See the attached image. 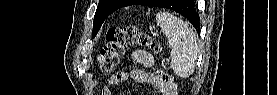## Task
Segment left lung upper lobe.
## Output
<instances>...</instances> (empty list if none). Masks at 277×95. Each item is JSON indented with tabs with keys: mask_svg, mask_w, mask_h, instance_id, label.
<instances>
[{
	"mask_svg": "<svg viewBox=\"0 0 277 95\" xmlns=\"http://www.w3.org/2000/svg\"><path fill=\"white\" fill-rule=\"evenodd\" d=\"M132 0H100L94 16L93 36L97 34L105 19L119 8L127 6ZM162 0H152L149 7H159ZM178 4L181 0H177ZM176 4V5H178Z\"/></svg>",
	"mask_w": 277,
	"mask_h": 95,
	"instance_id": "obj_1",
	"label": "left lung upper lobe"
}]
</instances>
